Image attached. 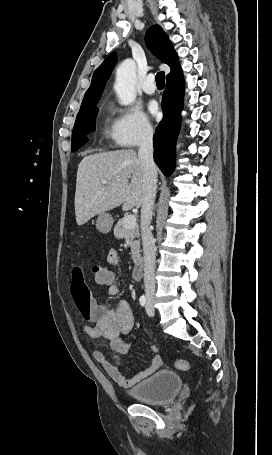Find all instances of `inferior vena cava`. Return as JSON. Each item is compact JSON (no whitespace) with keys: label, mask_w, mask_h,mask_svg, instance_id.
I'll return each mask as SVG.
<instances>
[{"label":"inferior vena cava","mask_w":272,"mask_h":455,"mask_svg":"<svg viewBox=\"0 0 272 455\" xmlns=\"http://www.w3.org/2000/svg\"><path fill=\"white\" fill-rule=\"evenodd\" d=\"M138 157L141 162L144 180V198L141 207V236L144 251V286L147 298L155 296V240L150 230L152 210L157 188V168L153 160V130L151 126L143 128Z\"/></svg>","instance_id":"inferior-vena-cava-1"}]
</instances>
